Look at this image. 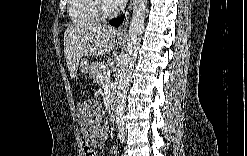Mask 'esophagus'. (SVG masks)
I'll use <instances>...</instances> for the list:
<instances>
[{
  "label": "esophagus",
  "mask_w": 247,
  "mask_h": 156,
  "mask_svg": "<svg viewBox=\"0 0 247 156\" xmlns=\"http://www.w3.org/2000/svg\"><path fill=\"white\" fill-rule=\"evenodd\" d=\"M132 1L129 3L128 8L125 12V18L124 21L122 22V24L118 27V33H126L127 29H128V25H129V21H130V17H131V13H132Z\"/></svg>",
  "instance_id": "obj_1"
}]
</instances>
